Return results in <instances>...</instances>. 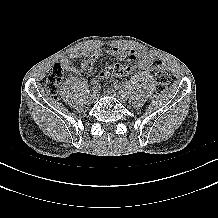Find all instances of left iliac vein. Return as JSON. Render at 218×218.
<instances>
[{"mask_svg": "<svg viewBox=\"0 0 218 218\" xmlns=\"http://www.w3.org/2000/svg\"><path fill=\"white\" fill-rule=\"evenodd\" d=\"M108 94L114 96L117 98L120 102L125 103L126 102V97L124 93H120V89H117L115 87H112L107 90Z\"/></svg>", "mask_w": 218, "mask_h": 218, "instance_id": "obj_1", "label": "left iliac vein"}]
</instances>
